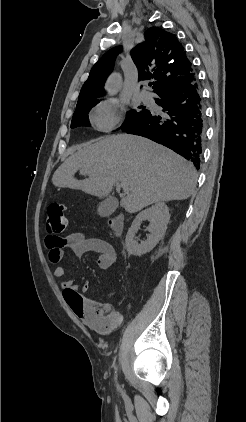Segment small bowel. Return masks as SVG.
Segmentation results:
<instances>
[{
    "instance_id": "1",
    "label": "small bowel",
    "mask_w": 246,
    "mask_h": 422,
    "mask_svg": "<svg viewBox=\"0 0 246 422\" xmlns=\"http://www.w3.org/2000/svg\"><path fill=\"white\" fill-rule=\"evenodd\" d=\"M48 259L51 263H59L66 249H70L76 256L87 252L98 254V265L101 269L107 270L117 262V253L113 246L99 238H88L83 233L77 232L66 237L50 235L46 238ZM53 275L56 278H63L66 269L63 266H56ZM89 289V283L80 276L77 279H70L62 282L61 290L63 298L74 313L83 320L91 329L105 334L117 327L122 317L113 310L109 303H99L91 298L83 296Z\"/></svg>"
}]
</instances>
